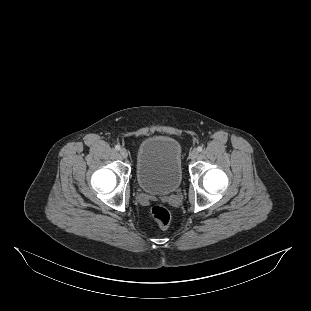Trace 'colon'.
<instances>
[{
    "label": "colon",
    "instance_id": "obj_1",
    "mask_svg": "<svg viewBox=\"0 0 311 311\" xmlns=\"http://www.w3.org/2000/svg\"><path fill=\"white\" fill-rule=\"evenodd\" d=\"M150 214L154 222L161 228L168 227L171 215L167 208L161 205H153L150 209Z\"/></svg>",
    "mask_w": 311,
    "mask_h": 311
}]
</instances>
